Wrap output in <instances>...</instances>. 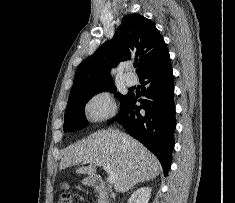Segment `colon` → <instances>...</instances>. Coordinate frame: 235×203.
I'll use <instances>...</instances> for the list:
<instances>
[{"mask_svg": "<svg viewBox=\"0 0 235 203\" xmlns=\"http://www.w3.org/2000/svg\"><path fill=\"white\" fill-rule=\"evenodd\" d=\"M58 203H73V200L69 193L64 192L59 198Z\"/></svg>", "mask_w": 235, "mask_h": 203, "instance_id": "1", "label": "colon"}]
</instances>
